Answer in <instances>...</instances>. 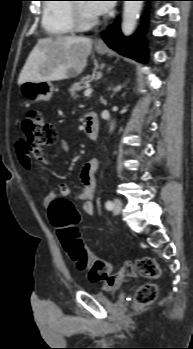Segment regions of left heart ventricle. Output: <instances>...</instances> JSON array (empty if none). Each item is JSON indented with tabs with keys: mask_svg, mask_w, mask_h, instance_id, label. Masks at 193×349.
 Here are the masks:
<instances>
[{
	"mask_svg": "<svg viewBox=\"0 0 193 349\" xmlns=\"http://www.w3.org/2000/svg\"><path fill=\"white\" fill-rule=\"evenodd\" d=\"M83 7L85 8L86 12L89 14V15H93L87 8V4H83Z\"/></svg>",
	"mask_w": 193,
	"mask_h": 349,
	"instance_id": "1",
	"label": "left heart ventricle"
}]
</instances>
